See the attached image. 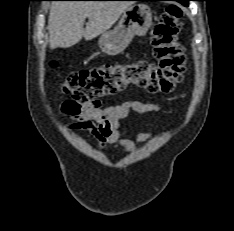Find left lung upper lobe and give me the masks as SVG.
I'll list each match as a JSON object with an SVG mask.
<instances>
[{
	"instance_id": "1",
	"label": "left lung upper lobe",
	"mask_w": 234,
	"mask_h": 231,
	"mask_svg": "<svg viewBox=\"0 0 234 231\" xmlns=\"http://www.w3.org/2000/svg\"><path fill=\"white\" fill-rule=\"evenodd\" d=\"M180 2H189L191 0H179Z\"/></svg>"
}]
</instances>
